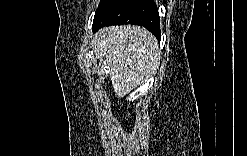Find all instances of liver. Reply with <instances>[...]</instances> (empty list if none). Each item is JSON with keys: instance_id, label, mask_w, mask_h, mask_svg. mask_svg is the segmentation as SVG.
I'll return each mask as SVG.
<instances>
[{"instance_id": "1", "label": "liver", "mask_w": 247, "mask_h": 156, "mask_svg": "<svg viewBox=\"0 0 247 156\" xmlns=\"http://www.w3.org/2000/svg\"><path fill=\"white\" fill-rule=\"evenodd\" d=\"M92 46L96 57L105 59L118 98L140 85L160 62L156 38L135 25L105 27L95 34Z\"/></svg>"}]
</instances>
